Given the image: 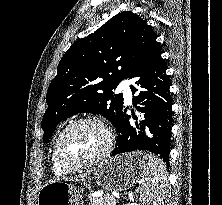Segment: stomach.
I'll return each instance as SVG.
<instances>
[{
    "instance_id": "stomach-1",
    "label": "stomach",
    "mask_w": 222,
    "mask_h": 205,
    "mask_svg": "<svg viewBox=\"0 0 222 205\" xmlns=\"http://www.w3.org/2000/svg\"><path fill=\"white\" fill-rule=\"evenodd\" d=\"M144 154H125L105 160L92 171L88 181L82 180L91 190V180L107 191H125L140 181ZM81 189L72 183L57 180L47 183L38 193L37 205H82Z\"/></svg>"
}]
</instances>
